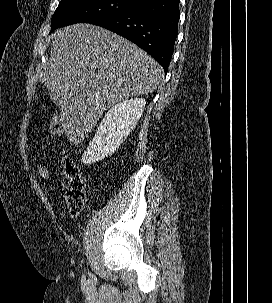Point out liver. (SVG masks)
<instances>
[{"instance_id":"obj_1","label":"liver","mask_w":272,"mask_h":303,"mask_svg":"<svg viewBox=\"0 0 272 303\" xmlns=\"http://www.w3.org/2000/svg\"><path fill=\"white\" fill-rule=\"evenodd\" d=\"M39 81L61 111L63 133L81 143L115 103L157 89L163 68L127 39L99 26L56 30Z\"/></svg>"}]
</instances>
